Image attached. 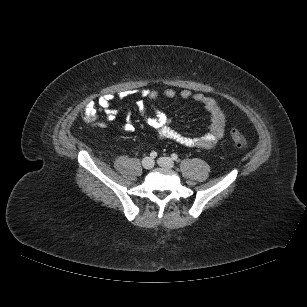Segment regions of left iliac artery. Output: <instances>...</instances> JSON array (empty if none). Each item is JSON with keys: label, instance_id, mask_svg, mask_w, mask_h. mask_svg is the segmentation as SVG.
I'll list each match as a JSON object with an SVG mask.
<instances>
[{"label": "left iliac artery", "instance_id": "44dca946", "mask_svg": "<svg viewBox=\"0 0 307 307\" xmlns=\"http://www.w3.org/2000/svg\"><path fill=\"white\" fill-rule=\"evenodd\" d=\"M171 158H172L173 160L177 161V160H178V155H177L176 153H173V154L171 155Z\"/></svg>", "mask_w": 307, "mask_h": 307}]
</instances>
